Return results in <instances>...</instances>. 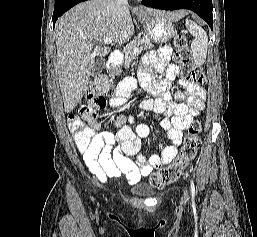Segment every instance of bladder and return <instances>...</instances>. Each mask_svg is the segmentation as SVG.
Wrapping results in <instances>:
<instances>
[{"label": "bladder", "instance_id": "bladder-1", "mask_svg": "<svg viewBox=\"0 0 257 237\" xmlns=\"http://www.w3.org/2000/svg\"><path fill=\"white\" fill-rule=\"evenodd\" d=\"M133 190L139 197H151L155 194V190L147 184H138L133 187Z\"/></svg>", "mask_w": 257, "mask_h": 237}]
</instances>
